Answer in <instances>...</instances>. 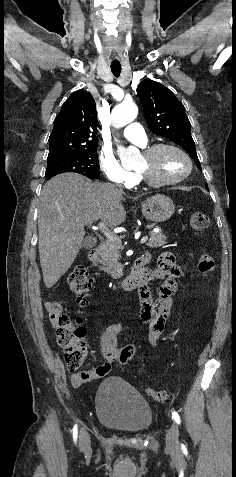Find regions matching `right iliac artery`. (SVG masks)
I'll list each match as a JSON object with an SVG mask.
<instances>
[{"mask_svg":"<svg viewBox=\"0 0 236 477\" xmlns=\"http://www.w3.org/2000/svg\"><path fill=\"white\" fill-rule=\"evenodd\" d=\"M77 434H78L77 425H75L73 427V439H74V441H76V439H77Z\"/></svg>","mask_w":236,"mask_h":477,"instance_id":"right-iliac-artery-1","label":"right iliac artery"}]
</instances>
